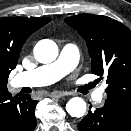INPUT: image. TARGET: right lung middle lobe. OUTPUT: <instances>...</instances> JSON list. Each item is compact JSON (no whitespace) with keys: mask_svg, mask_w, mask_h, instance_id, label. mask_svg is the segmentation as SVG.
Wrapping results in <instances>:
<instances>
[{"mask_svg":"<svg viewBox=\"0 0 131 131\" xmlns=\"http://www.w3.org/2000/svg\"><path fill=\"white\" fill-rule=\"evenodd\" d=\"M11 72V69L0 70V90L7 88V78Z\"/></svg>","mask_w":131,"mask_h":131,"instance_id":"dd1d6c3e","label":"right lung middle lobe"}]
</instances>
